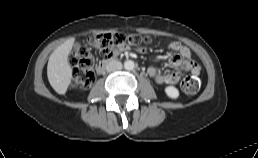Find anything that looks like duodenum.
<instances>
[{"mask_svg":"<svg viewBox=\"0 0 258 158\" xmlns=\"http://www.w3.org/2000/svg\"><path fill=\"white\" fill-rule=\"evenodd\" d=\"M114 61H116V58L113 57V56H109V57H106L102 62L99 63V65L97 66L96 68V73L97 74H102L106 67L110 64V63H113Z\"/></svg>","mask_w":258,"mask_h":158,"instance_id":"obj_1","label":"duodenum"}]
</instances>
